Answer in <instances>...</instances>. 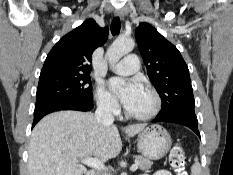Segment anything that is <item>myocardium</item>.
I'll use <instances>...</instances> for the list:
<instances>
[{
	"label": "myocardium",
	"mask_w": 233,
	"mask_h": 175,
	"mask_svg": "<svg viewBox=\"0 0 233 175\" xmlns=\"http://www.w3.org/2000/svg\"><path fill=\"white\" fill-rule=\"evenodd\" d=\"M143 91H145L152 98V107L147 112L139 114L132 113L126 108L125 115L128 118L144 121L154 118L160 112L162 107V100L159 93L151 87H145Z\"/></svg>",
	"instance_id": "1"
}]
</instances>
